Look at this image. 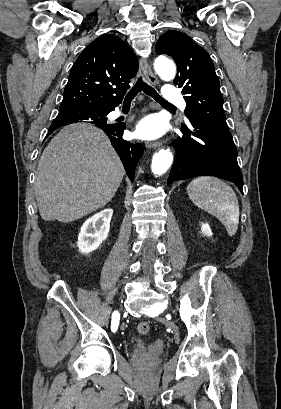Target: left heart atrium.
I'll return each instance as SVG.
<instances>
[{
    "label": "left heart atrium",
    "instance_id": "obj_1",
    "mask_svg": "<svg viewBox=\"0 0 281 409\" xmlns=\"http://www.w3.org/2000/svg\"><path fill=\"white\" fill-rule=\"evenodd\" d=\"M165 132L164 121L156 114L141 118L135 127V136L141 140H155Z\"/></svg>",
    "mask_w": 281,
    "mask_h": 409
}]
</instances>
